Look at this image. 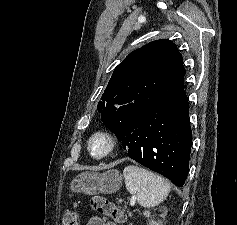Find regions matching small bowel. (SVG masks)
Listing matches in <instances>:
<instances>
[{
  "mask_svg": "<svg viewBox=\"0 0 237 225\" xmlns=\"http://www.w3.org/2000/svg\"><path fill=\"white\" fill-rule=\"evenodd\" d=\"M86 225H116V223L107 221L99 216H93L88 220Z\"/></svg>",
  "mask_w": 237,
  "mask_h": 225,
  "instance_id": "small-bowel-1",
  "label": "small bowel"
}]
</instances>
